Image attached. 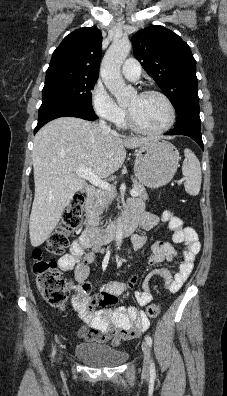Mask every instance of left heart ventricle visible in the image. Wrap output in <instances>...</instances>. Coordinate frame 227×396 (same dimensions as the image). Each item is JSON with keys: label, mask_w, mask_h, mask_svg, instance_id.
I'll list each match as a JSON object with an SVG mask.
<instances>
[{"label": "left heart ventricle", "mask_w": 227, "mask_h": 396, "mask_svg": "<svg viewBox=\"0 0 227 396\" xmlns=\"http://www.w3.org/2000/svg\"><path fill=\"white\" fill-rule=\"evenodd\" d=\"M136 122L145 129H159L169 119V111L164 101L157 96L134 95L127 103Z\"/></svg>", "instance_id": "1"}]
</instances>
